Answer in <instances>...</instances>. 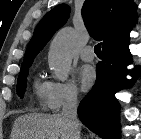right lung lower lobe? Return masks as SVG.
Here are the masks:
<instances>
[{
	"label": "right lung lower lobe",
	"instance_id": "98d812e1",
	"mask_svg": "<svg viewBox=\"0 0 141 139\" xmlns=\"http://www.w3.org/2000/svg\"><path fill=\"white\" fill-rule=\"evenodd\" d=\"M130 63L129 36L104 47L96 82L78 107L81 122L104 139L120 138V105L115 93L130 84L126 79V66ZM138 74L139 69H135L133 79Z\"/></svg>",
	"mask_w": 141,
	"mask_h": 139
}]
</instances>
